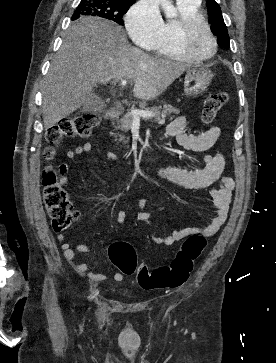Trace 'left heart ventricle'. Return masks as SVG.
<instances>
[{
    "label": "left heart ventricle",
    "mask_w": 276,
    "mask_h": 363,
    "mask_svg": "<svg viewBox=\"0 0 276 363\" xmlns=\"http://www.w3.org/2000/svg\"><path fill=\"white\" fill-rule=\"evenodd\" d=\"M190 50L199 56H206L212 51V41L203 27L193 31L188 40Z\"/></svg>",
    "instance_id": "left-heart-ventricle-1"
}]
</instances>
